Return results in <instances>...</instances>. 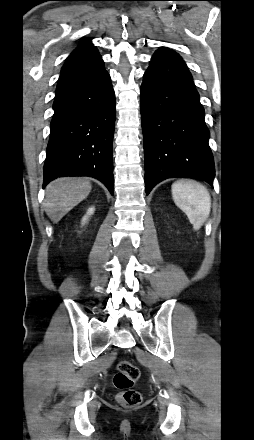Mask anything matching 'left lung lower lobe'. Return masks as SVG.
Listing matches in <instances>:
<instances>
[{
  "label": "left lung lower lobe",
  "instance_id": "obj_1",
  "mask_svg": "<svg viewBox=\"0 0 254 440\" xmlns=\"http://www.w3.org/2000/svg\"><path fill=\"white\" fill-rule=\"evenodd\" d=\"M145 151V190L172 177L201 179L213 185L214 161L204 108L182 58L157 50L140 90Z\"/></svg>",
  "mask_w": 254,
  "mask_h": 440
}]
</instances>
